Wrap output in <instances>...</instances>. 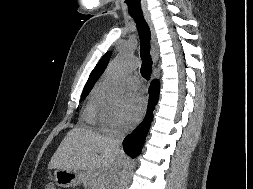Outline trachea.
<instances>
[{
  "label": "trachea",
  "instance_id": "3493384b",
  "mask_svg": "<svg viewBox=\"0 0 253 189\" xmlns=\"http://www.w3.org/2000/svg\"><path fill=\"white\" fill-rule=\"evenodd\" d=\"M134 19L140 38V56L142 60L141 75L144 79H150L152 72V59L150 56L151 33L148 24L142 14H130Z\"/></svg>",
  "mask_w": 253,
  "mask_h": 189
}]
</instances>
